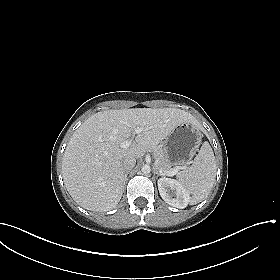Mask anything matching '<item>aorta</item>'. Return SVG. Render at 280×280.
I'll use <instances>...</instances> for the list:
<instances>
[{"mask_svg": "<svg viewBox=\"0 0 280 280\" xmlns=\"http://www.w3.org/2000/svg\"><path fill=\"white\" fill-rule=\"evenodd\" d=\"M141 171L143 172V174H149L151 171V168L149 165H144L141 169Z\"/></svg>", "mask_w": 280, "mask_h": 280, "instance_id": "1", "label": "aorta"}]
</instances>
